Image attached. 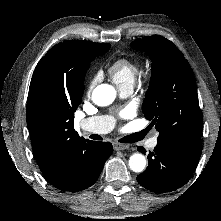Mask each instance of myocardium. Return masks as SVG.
Instances as JSON below:
<instances>
[{"label":"myocardium","instance_id":"myocardium-1","mask_svg":"<svg viewBox=\"0 0 221 221\" xmlns=\"http://www.w3.org/2000/svg\"><path fill=\"white\" fill-rule=\"evenodd\" d=\"M153 78H154V71L152 68H148L142 71V73L140 74L139 81L143 85H149L152 82Z\"/></svg>","mask_w":221,"mask_h":221}]
</instances>
